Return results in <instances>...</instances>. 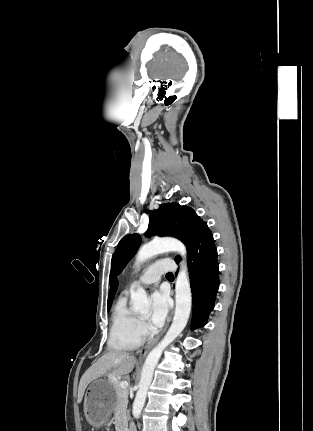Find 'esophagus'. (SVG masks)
<instances>
[{"label": "esophagus", "instance_id": "obj_1", "mask_svg": "<svg viewBox=\"0 0 313 431\" xmlns=\"http://www.w3.org/2000/svg\"><path fill=\"white\" fill-rule=\"evenodd\" d=\"M172 314L173 313H171V315H170V317L168 318V320H167V323H166V326L164 327V329L162 330V332L156 337V338H154L152 341H150V342H148L146 345H145V347L144 348H142L140 351H139V359H143L145 356H146V354L149 352V350L158 342V340L160 339V337L163 335V333L166 331V329H167V327H168V325H169V323H170V321H171V319H172Z\"/></svg>", "mask_w": 313, "mask_h": 431}]
</instances>
